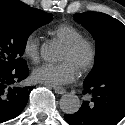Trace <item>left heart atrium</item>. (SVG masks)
I'll return each mask as SVG.
<instances>
[{
  "instance_id": "39dd6f15",
  "label": "left heart atrium",
  "mask_w": 125,
  "mask_h": 125,
  "mask_svg": "<svg viewBox=\"0 0 125 125\" xmlns=\"http://www.w3.org/2000/svg\"><path fill=\"white\" fill-rule=\"evenodd\" d=\"M77 76V69L68 60L60 63H45L34 69L32 77L36 82L51 86L71 83Z\"/></svg>"
}]
</instances>
